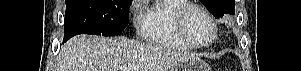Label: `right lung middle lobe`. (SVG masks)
Here are the masks:
<instances>
[{
  "label": "right lung middle lobe",
  "instance_id": "right-lung-middle-lobe-1",
  "mask_svg": "<svg viewBox=\"0 0 301 71\" xmlns=\"http://www.w3.org/2000/svg\"><path fill=\"white\" fill-rule=\"evenodd\" d=\"M132 0H66L64 41L77 34L118 35Z\"/></svg>",
  "mask_w": 301,
  "mask_h": 71
}]
</instances>
